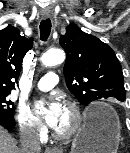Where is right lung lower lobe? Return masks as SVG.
Wrapping results in <instances>:
<instances>
[{
	"mask_svg": "<svg viewBox=\"0 0 130 153\" xmlns=\"http://www.w3.org/2000/svg\"><path fill=\"white\" fill-rule=\"evenodd\" d=\"M0 126H3L7 130L11 131L15 127V121L9 120L4 116H0Z\"/></svg>",
	"mask_w": 130,
	"mask_h": 153,
	"instance_id": "obj_1",
	"label": "right lung lower lobe"
}]
</instances>
